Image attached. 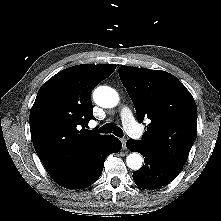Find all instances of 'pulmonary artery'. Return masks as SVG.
<instances>
[{
	"label": "pulmonary artery",
	"mask_w": 221,
	"mask_h": 221,
	"mask_svg": "<svg viewBox=\"0 0 221 221\" xmlns=\"http://www.w3.org/2000/svg\"><path fill=\"white\" fill-rule=\"evenodd\" d=\"M121 119L126 132L135 139L142 136V131L138 127L129 108L125 107L121 111Z\"/></svg>",
	"instance_id": "pulmonary-artery-1"
}]
</instances>
